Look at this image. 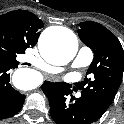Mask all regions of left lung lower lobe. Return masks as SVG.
Segmentation results:
<instances>
[{
    "instance_id": "obj_1",
    "label": "left lung lower lobe",
    "mask_w": 124,
    "mask_h": 124,
    "mask_svg": "<svg viewBox=\"0 0 124 124\" xmlns=\"http://www.w3.org/2000/svg\"><path fill=\"white\" fill-rule=\"evenodd\" d=\"M42 90L49 100L50 115L57 124H92L104 114L83 94L80 98L72 96L71 85L67 83L46 81ZM68 95L72 96L70 100H67Z\"/></svg>"
}]
</instances>
